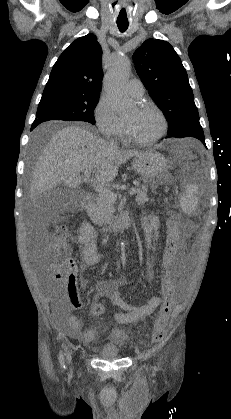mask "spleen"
Returning a JSON list of instances; mask_svg holds the SVG:
<instances>
[{
    "instance_id": "spleen-1",
    "label": "spleen",
    "mask_w": 231,
    "mask_h": 419,
    "mask_svg": "<svg viewBox=\"0 0 231 419\" xmlns=\"http://www.w3.org/2000/svg\"><path fill=\"white\" fill-rule=\"evenodd\" d=\"M186 194L181 198V208L184 213L191 214L195 211L197 206V197L195 196L197 192V187L195 185H187Z\"/></svg>"
}]
</instances>
